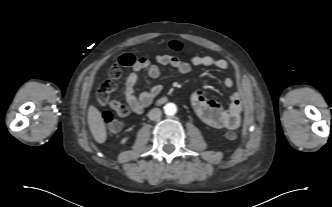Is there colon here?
I'll list each match as a JSON object with an SVG mask.
<instances>
[{"mask_svg": "<svg viewBox=\"0 0 332 207\" xmlns=\"http://www.w3.org/2000/svg\"><path fill=\"white\" fill-rule=\"evenodd\" d=\"M169 48L173 51L180 52L184 49L183 45L176 40L169 42ZM137 58L131 53H125L112 64L109 69V76L98 87L96 96L100 105L109 107L116 114L125 113V105L110 98L111 93L117 88V81L122 75V67H132L136 63ZM103 119L106 123L107 129L111 134H118L123 129V123L116 119L112 113L105 112ZM228 140L234 141L237 139V134L233 131L225 133Z\"/></svg>", "mask_w": 332, "mask_h": 207, "instance_id": "colon-1", "label": "colon"}]
</instances>
